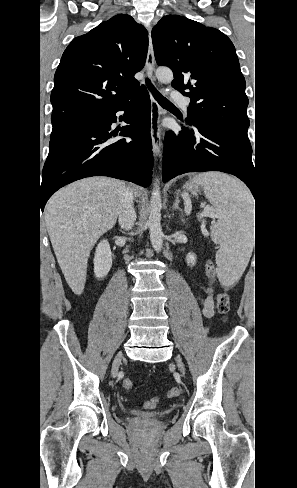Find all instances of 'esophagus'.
I'll use <instances>...</instances> for the list:
<instances>
[{
  "mask_svg": "<svg viewBox=\"0 0 297 488\" xmlns=\"http://www.w3.org/2000/svg\"><path fill=\"white\" fill-rule=\"evenodd\" d=\"M149 43L147 53V71L150 79L154 80V50L151 37V30L149 29ZM160 106L157 101L151 98V138H152V150L155 156H160L161 153V133H160Z\"/></svg>",
  "mask_w": 297,
  "mask_h": 488,
  "instance_id": "esophagus-1",
  "label": "esophagus"
}]
</instances>
